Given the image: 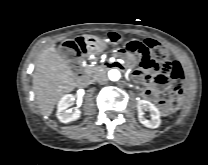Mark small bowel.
Here are the masks:
<instances>
[{
    "instance_id": "1",
    "label": "small bowel",
    "mask_w": 208,
    "mask_h": 165,
    "mask_svg": "<svg viewBox=\"0 0 208 165\" xmlns=\"http://www.w3.org/2000/svg\"><path fill=\"white\" fill-rule=\"evenodd\" d=\"M126 64L132 68L135 65V58L127 55ZM158 65L159 68L153 69L149 75L141 70H135L133 73L136 79L147 84L141 95L152 101L157 100L163 92L168 91V85L171 83L181 84L187 74L185 65L181 61H176L172 56H163Z\"/></svg>"
}]
</instances>
